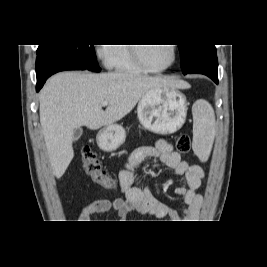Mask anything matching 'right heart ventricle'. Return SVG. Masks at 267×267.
I'll use <instances>...</instances> for the list:
<instances>
[{
    "mask_svg": "<svg viewBox=\"0 0 267 267\" xmlns=\"http://www.w3.org/2000/svg\"><path fill=\"white\" fill-rule=\"evenodd\" d=\"M110 66L117 72H144L132 58L131 49L124 44H115L111 47Z\"/></svg>",
    "mask_w": 267,
    "mask_h": 267,
    "instance_id": "e07e8e85",
    "label": "right heart ventricle"
}]
</instances>
